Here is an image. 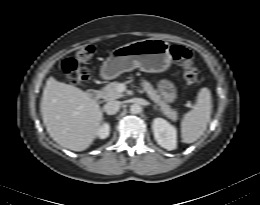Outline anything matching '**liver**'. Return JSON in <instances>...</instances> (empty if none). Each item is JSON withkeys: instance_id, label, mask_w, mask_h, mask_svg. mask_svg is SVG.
<instances>
[{"instance_id": "1", "label": "liver", "mask_w": 260, "mask_h": 205, "mask_svg": "<svg viewBox=\"0 0 260 205\" xmlns=\"http://www.w3.org/2000/svg\"><path fill=\"white\" fill-rule=\"evenodd\" d=\"M50 137L72 151L87 149L97 136L102 111L89 93L50 77L40 103Z\"/></svg>"}]
</instances>
